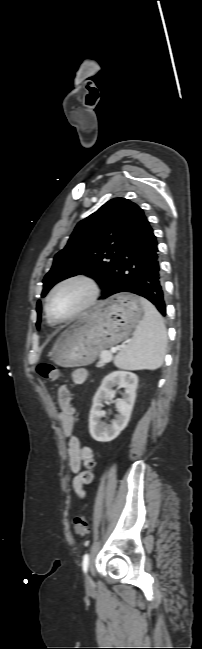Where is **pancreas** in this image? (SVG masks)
<instances>
[{
    "label": "pancreas",
    "mask_w": 202,
    "mask_h": 649,
    "mask_svg": "<svg viewBox=\"0 0 202 649\" xmlns=\"http://www.w3.org/2000/svg\"><path fill=\"white\" fill-rule=\"evenodd\" d=\"M102 352H107V353H111V352H109V351H106V350H105V351H102ZM102 352H101V353H102ZM106 363H107V362H104V361H102V360H100V361H99V362L97 363V365H96V366H97V367H103V366H105V365H106Z\"/></svg>",
    "instance_id": "obj_1"
}]
</instances>
